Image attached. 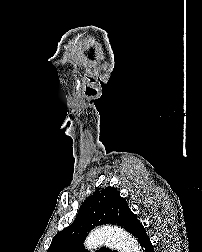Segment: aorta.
<instances>
[{
    "instance_id": "obj_1",
    "label": "aorta",
    "mask_w": 202,
    "mask_h": 252,
    "mask_svg": "<svg viewBox=\"0 0 202 252\" xmlns=\"http://www.w3.org/2000/svg\"><path fill=\"white\" fill-rule=\"evenodd\" d=\"M101 244L113 247L119 252H140L137 241L118 227H103L91 233L85 241L88 249H95Z\"/></svg>"
}]
</instances>
